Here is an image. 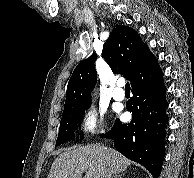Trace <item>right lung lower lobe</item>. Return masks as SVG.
<instances>
[{
  "instance_id": "obj_1",
  "label": "right lung lower lobe",
  "mask_w": 194,
  "mask_h": 178,
  "mask_svg": "<svg viewBox=\"0 0 194 178\" xmlns=\"http://www.w3.org/2000/svg\"><path fill=\"white\" fill-rule=\"evenodd\" d=\"M161 70L150 79L132 87L133 97L126 103L132 121L116 119L104 136L114 140L117 151L148 169L154 178L161 172L165 157L164 140L168 117Z\"/></svg>"
}]
</instances>
